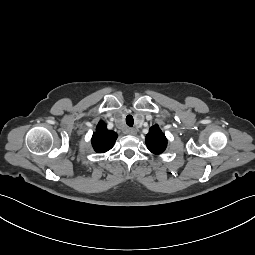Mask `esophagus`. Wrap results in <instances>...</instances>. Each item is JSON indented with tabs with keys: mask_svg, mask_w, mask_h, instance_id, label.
I'll return each instance as SVG.
<instances>
[{
	"mask_svg": "<svg viewBox=\"0 0 255 255\" xmlns=\"http://www.w3.org/2000/svg\"><path fill=\"white\" fill-rule=\"evenodd\" d=\"M127 133L130 135H136L137 134V130L134 128H129L127 129Z\"/></svg>",
	"mask_w": 255,
	"mask_h": 255,
	"instance_id": "esophagus-1",
	"label": "esophagus"
}]
</instances>
